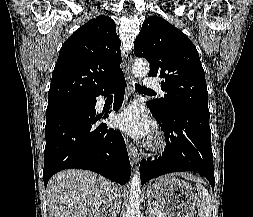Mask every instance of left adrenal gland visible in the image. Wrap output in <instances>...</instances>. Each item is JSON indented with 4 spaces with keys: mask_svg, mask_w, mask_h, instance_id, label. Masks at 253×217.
<instances>
[{
    "mask_svg": "<svg viewBox=\"0 0 253 217\" xmlns=\"http://www.w3.org/2000/svg\"><path fill=\"white\" fill-rule=\"evenodd\" d=\"M151 211H152V206H151V203L149 202V203H148V213H149V217H153Z\"/></svg>",
    "mask_w": 253,
    "mask_h": 217,
    "instance_id": "left-adrenal-gland-1",
    "label": "left adrenal gland"
}]
</instances>
